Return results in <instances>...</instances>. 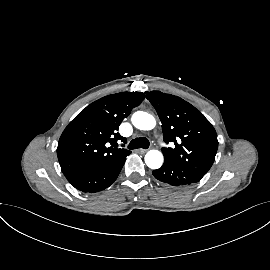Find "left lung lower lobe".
<instances>
[{
    "mask_svg": "<svg viewBox=\"0 0 270 270\" xmlns=\"http://www.w3.org/2000/svg\"><path fill=\"white\" fill-rule=\"evenodd\" d=\"M156 179L176 187H187L199 182L203 175L175 163L164 161L161 168L153 170Z\"/></svg>",
    "mask_w": 270,
    "mask_h": 270,
    "instance_id": "1",
    "label": "left lung lower lobe"
}]
</instances>
